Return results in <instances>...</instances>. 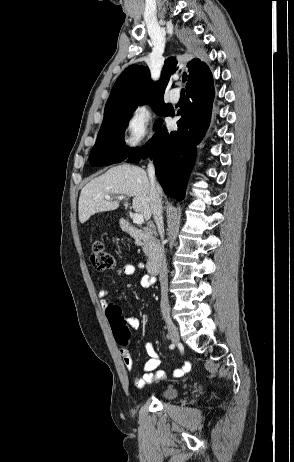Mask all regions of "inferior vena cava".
Returning <instances> with one entry per match:
<instances>
[{
  "mask_svg": "<svg viewBox=\"0 0 294 462\" xmlns=\"http://www.w3.org/2000/svg\"><path fill=\"white\" fill-rule=\"evenodd\" d=\"M149 180H150V200H151V211L153 214L154 221L158 227L160 234L164 231L163 216H162V202L158 188V184L155 179V167L152 162L148 164L147 168ZM160 257L159 263L161 265L160 270V286H161V312L163 315H168L170 312L168 302V284H167V267L163 256L162 249L159 250Z\"/></svg>",
  "mask_w": 294,
  "mask_h": 462,
  "instance_id": "inferior-vena-cava-1",
  "label": "inferior vena cava"
}]
</instances>
